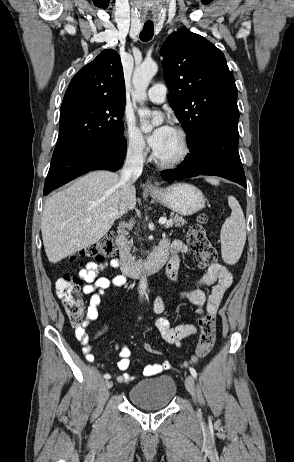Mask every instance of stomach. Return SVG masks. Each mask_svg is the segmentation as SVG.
<instances>
[{
  "label": "stomach",
  "mask_w": 294,
  "mask_h": 462,
  "mask_svg": "<svg viewBox=\"0 0 294 462\" xmlns=\"http://www.w3.org/2000/svg\"><path fill=\"white\" fill-rule=\"evenodd\" d=\"M151 197L173 212L188 216L205 207L206 199L195 186L176 183L169 187L150 192Z\"/></svg>",
  "instance_id": "obj_1"
}]
</instances>
